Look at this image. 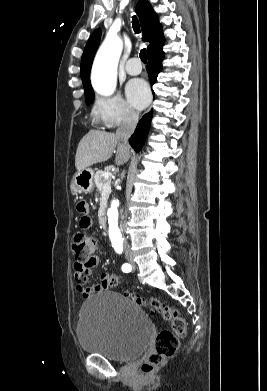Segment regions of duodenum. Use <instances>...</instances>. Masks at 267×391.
Masks as SVG:
<instances>
[{
    "mask_svg": "<svg viewBox=\"0 0 267 391\" xmlns=\"http://www.w3.org/2000/svg\"><path fill=\"white\" fill-rule=\"evenodd\" d=\"M99 223H100V226L103 230H106L107 228V218L104 214V212H101L100 215H99Z\"/></svg>",
    "mask_w": 267,
    "mask_h": 391,
    "instance_id": "1",
    "label": "duodenum"
}]
</instances>
